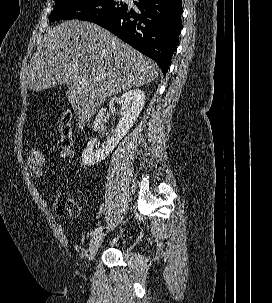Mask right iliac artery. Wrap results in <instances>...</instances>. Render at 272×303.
<instances>
[{
  "label": "right iliac artery",
  "instance_id": "obj_1",
  "mask_svg": "<svg viewBox=\"0 0 272 303\" xmlns=\"http://www.w3.org/2000/svg\"><path fill=\"white\" fill-rule=\"evenodd\" d=\"M103 230V227L100 226L98 228H95L92 232H91V236H95L97 235L99 232H101Z\"/></svg>",
  "mask_w": 272,
  "mask_h": 303
}]
</instances>
